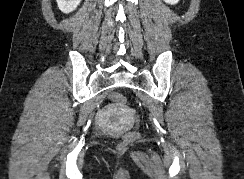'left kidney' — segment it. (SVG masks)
<instances>
[{
	"instance_id": "1",
	"label": "left kidney",
	"mask_w": 244,
	"mask_h": 179,
	"mask_svg": "<svg viewBox=\"0 0 244 179\" xmlns=\"http://www.w3.org/2000/svg\"><path fill=\"white\" fill-rule=\"evenodd\" d=\"M163 2H166V4H171V6H174V4H178L179 0H163Z\"/></svg>"
}]
</instances>
